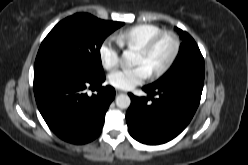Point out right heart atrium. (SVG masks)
Listing matches in <instances>:
<instances>
[{"mask_svg": "<svg viewBox=\"0 0 248 165\" xmlns=\"http://www.w3.org/2000/svg\"><path fill=\"white\" fill-rule=\"evenodd\" d=\"M99 58L107 70L116 68L119 64V46L111 39H105L99 47Z\"/></svg>", "mask_w": 248, "mask_h": 165, "instance_id": "d8ad5b80", "label": "right heart atrium"}]
</instances>
